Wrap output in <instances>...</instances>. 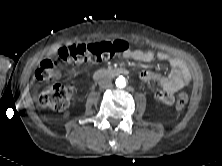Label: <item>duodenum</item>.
Instances as JSON below:
<instances>
[{"instance_id": "410a0bca", "label": "duodenum", "mask_w": 222, "mask_h": 166, "mask_svg": "<svg viewBox=\"0 0 222 166\" xmlns=\"http://www.w3.org/2000/svg\"><path fill=\"white\" fill-rule=\"evenodd\" d=\"M128 70L125 68H105V69H100L94 74V79L95 80H100L104 77L108 76H117V75H124L127 74Z\"/></svg>"}]
</instances>
